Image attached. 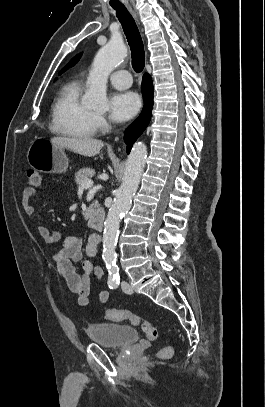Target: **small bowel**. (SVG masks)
<instances>
[{
  "label": "small bowel",
  "mask_w": 265,
  "mask_h": 407,
  "mask_svg": "<svg viewBox=\"0 0 265 407\" xmlns=\"http://www.w3.org/2000/svg\"><path fill=\"white\" fill-rule=\"evenodd\" d=\"M37 190L26 187L22 192L21 204L29 216H36L35 208L30 204V200L36 196ZM37 232L48 244H55L61 240V232L51 229L45 225H39ZM98 240L96 237H89L86 247H83V238L79 235L67 236L60 249L53 254L52 258L56 262L60 277L65 281L68 289L77 294L78 304L85 307L89 304L92 279L100 280L104 275V270L96 267L91 260H85L81 264V272L75 264L82 261L83 252L93 257L97 253ZM99 301L106 304L109 301V293L102 289H97Z\"/></svg>",
  "instance_id": "obj_1"
}]
</instances>
